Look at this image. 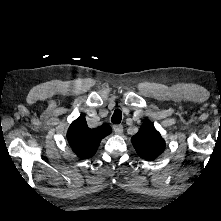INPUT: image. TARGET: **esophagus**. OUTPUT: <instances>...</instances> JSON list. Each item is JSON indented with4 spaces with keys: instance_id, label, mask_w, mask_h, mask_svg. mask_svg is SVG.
Here are the masks:
<instances>
[{
    "instance_id": "esophagus-1",
    "label": "esophagus",
    "mask_w": 221,
    "mask_h": 221,
    "mask_svg": "<svg viewBox=\"0 0 221 221\" xmlns=\"http://www.w3.org/2000/svg\"><path fill=\"white\" fill-rule=\"evenodd\" d=\"M113 129L117 135H121L123 133V126L122 125H114Z\"/></svg>"
}]
</instances>
